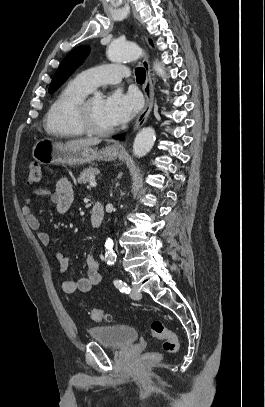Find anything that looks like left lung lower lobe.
Returning a JSON list of instances; mask_svg holds the SVG:
<instances>
[{"label": "left lung lower lobe", "instance_id": "1", "mask_svg": "<svg viewBox=\"0 0 265 407\" xmlns=\"http://www.w3.org/2000/svg\"><path fill=\"white\" fill-rule=\"evenodd\" d=\"M117 138H122V136H119V137H117Z\"/></svg>", "mask_w": 265, "mask_h": 407}]
</instances>
